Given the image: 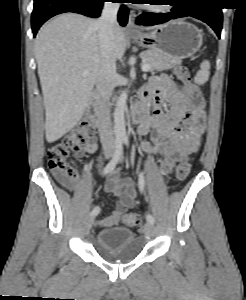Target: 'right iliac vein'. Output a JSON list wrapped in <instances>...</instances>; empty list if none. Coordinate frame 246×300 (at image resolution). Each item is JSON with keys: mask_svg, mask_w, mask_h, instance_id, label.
Masks as SVG:
<instances>
[{"mask_svg": "<svg viewBox=\"0 0 246 300\" xmlns=\"http://www.w3.org/2000/svg\"><path fill=\"white\" fill-rule=\"evenodd\" d=\"M105 156H106L107 159H109V158H111L112 153H111V152H107V153L105 154ZM93 221H94V217H93V216H90V217L88 218V220H87V229H88V230L92 227Z\"/></svg>", "mask_w": 246, "mask_h": 300, "instance_id": "right-iliac-vein-1", "label": "right iliac vein"}]
</instances>
